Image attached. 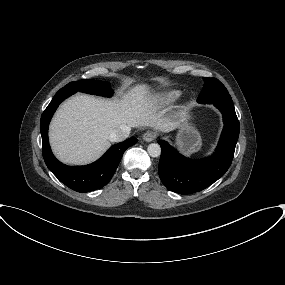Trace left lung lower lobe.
Segmentation results:
<instances>
[{
  "instance_id": "0a47b994",
  "label": "left lung lower lobe",
  "mask_w": 285,
  "mask_h": 285,
  "mask_svg": "<svg viewBox=\"0 0 285 285\" xmlns=\"http://www.w3.org/2000/svg\"><path fill=\"white\" fill-rule=\"evenodd\" d=\"M214 105L223 114L224 128L211 157L192 161L180 155L166 141H158L161 145L158 172L169 190L183 195L201 191L222 177L230 167L239 137V121L234 106Z\"/></svg>"
}]
</instances>
